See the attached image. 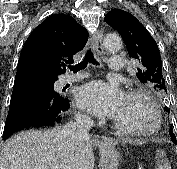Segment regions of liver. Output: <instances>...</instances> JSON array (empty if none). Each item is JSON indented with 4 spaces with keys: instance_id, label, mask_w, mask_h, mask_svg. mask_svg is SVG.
I'll list each match as a JSON object with an SVG mask.
<instances>
[{
    "instance_id": "liver-1",
    "label": "liver",
    "mask_w": 177,
    "mask_h": 169,
    "mask_svg": "<svg viewBox=\"0 0 177 169\" xmlns=\"http://www.w3.org/2000/svg\"><path fill=\"white\" fill-rule=\"evenodd\" d=\"M112 140H69L61 128L24 131L9 138L0 155V169H93V148Z\"/></svg>"
}]
</instances>
